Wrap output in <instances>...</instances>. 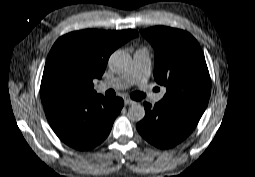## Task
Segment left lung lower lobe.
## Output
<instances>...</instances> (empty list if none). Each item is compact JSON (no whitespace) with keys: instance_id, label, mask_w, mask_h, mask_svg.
Wrapping results in <instances>:
<instances>
[{"instance_id":"left-lung-lower-lobe-1","label":"left lung lower lobe","mask_w":255,"mask_h":177,"mask_svg":"<svg viewBox=\"0 0 255 177\" xmlns=\"http://www.w3.org/2000/svg\"><path fill=\"white\" fill-rule=\"evenodd\" d=\"M146 115L137 130L149 143L167 149L184 140L196 127L205 106L162 99L154 107L144 103Z\"/></svg>"}]
</instances>
